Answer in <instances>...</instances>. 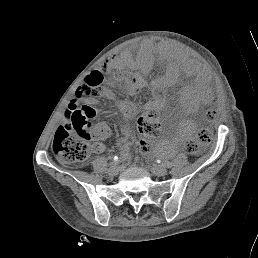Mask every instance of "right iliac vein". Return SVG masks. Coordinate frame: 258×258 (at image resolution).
Masks as SVG:
<instances>
[{
    "label": "right iliac vein",
    "instance_id": "right-iliac-vein-1",
    "mask_svg": "<svg viewBox=\"0 0 258 258\" xmlns=\"http://www.w3.org/2000/svg\"><path fill=\"white\" fill-rule=\"evenodd\" d=\"M117 172H118V169L115 168V167H112V168L110 169V173H112V174H116Z\"/></svg>",
    "mask_w": 258,
    "mask_h": 258
}]
</instances>
